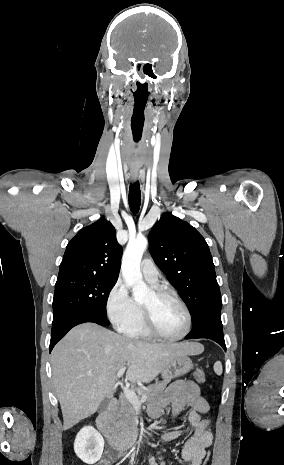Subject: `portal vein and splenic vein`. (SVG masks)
<instances>
[{
	"label": "portal vein and splenic vein",
	"instance_id": "1",
	"mask_svg": "<svg viewBox=\"0 0 284 465\" xmlns=\"http://www.w3.org/2000/svg\"><path fill=\"white\" fill-rule=\"evenodd\" d=\"M126 369L127 367H122V369H119L116 377H118V379H120V377H123ZM88 377H93V375H88ZM123 393L126 399H128L129 403L133 405V407H141L142 403H145V401H147L146 395H142L141 399H139L136 393H134V391H131V389H128V387H123Z\"/></svg>",
	"mask_w": 284,
	"mask_h": 465
}]
</instances>
